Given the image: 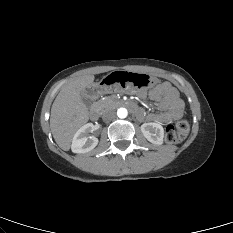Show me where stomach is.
I'll return each instance as SVG.
<instances>
[{
	"instance_id": "0dacf381",
	"label": "stomach",
	"mask_w": 233,
	"mask_h": 233,
	"mask_svg": "<svg viewBox=\"0 0 233 233\" xmlns=\"http://www.w3.org/2000/svg\"><path fill=\"white\" fill-rule=\"evenodd\" d=\"M157 82L155 77L147 73L116 71L101 81L100 90L104 94H111L119 88L147 89Z\"/></svg>"
}]
</instances>
